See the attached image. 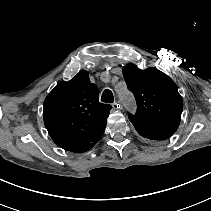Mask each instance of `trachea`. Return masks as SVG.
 <instances>
[{"mask_svg": "<svg viewBox=\"0 0 211 211\" xmlns=\"http://www.w3.org/2000/svg\"><path fill=\"white\" fill-rule=\"evenodd\" d=\"M101 101L105 103L114 102V96L111 90L109 89L104 90V92L102 93Z\"/></svg>", "mask_w": 211, "mask_h": 211, "instance_id": "obj_1", "label": "trachea"}]
</instances>
